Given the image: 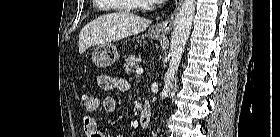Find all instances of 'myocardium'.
Segmentation results:
<instances>
[{
    "label": "myocardium",
    "mask_w": 280,
    "mask_h": 137,
    "mask_svg": "<svg viewBox=\"0 0 280 137\" xmlns=\"http://www.w3.org/2000/svg\"><path fill=\"white\" fill-rule=\"evenodd\" d=\"M139 2H146V1H144V0H139Z\"/></svg>",
    "instance_id": "f54148a6"
}]
</instances>
